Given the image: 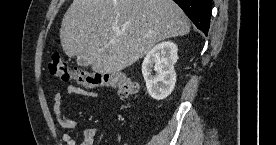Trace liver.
<instances>
[{
    "mask_svg": "<svg viewBox=\"0 0 276 145\" xmlns=\"http://www.w3.org/2000/svg\"><path fill=\"white\" fill-rule=\"evenodd\" d=\"M189 32V19L173 0H73L60 40L69 57L83 55L94 72L114 74L157 43Z\"/></svg>",
    "mask_w": 276,
    "mask_h": 145,
    "instance_id": "obj_1",
    "label": "liver"
}]
</instances>
